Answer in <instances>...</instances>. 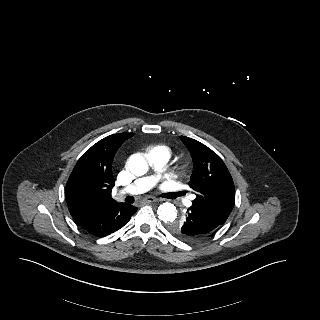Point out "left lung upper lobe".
<instances>
[{
    "label": "left lung upper lobe",
    "instance_id": "1",
    "mask_svg": "<svg viewBox=\"0 0 320 320\" xmlns=\"http://www.w3.org/2000/svg\"><path fill=\"white\" fill-rule=\"evenodd\" d=\"M180 138L194 160L189 185L195 191L196 198L191 207L224 224L235 202L233 179L225 163L204 144L185 136ZM169 229L183 241L196 240L182 230V221L171 223Z\"/></svg>",
    "mask_w": 320,
    "mask_h": 320
}]
</instances>
